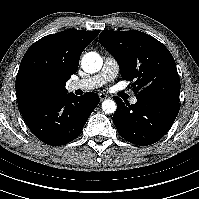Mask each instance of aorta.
<instances>
[{
	"label": "aorta",
	"instance_id": "aorta-1",
	"mask_svg": "<svg viewBox=\"0 0 199 199\" xmlns=\"http://www.w3.org/2000/svg\"><path fill=\"white\" fill-rule=\"evenodd\" d=\"M81 65L85 72L96 73L102 68L103 61L98 53L88 52L83 56ZM116 108L117 106L114 100L108 99L102 103V110L107 114L114 113Z\"/></svg>",
	"mask_w": 199,
	"mask_h": 199
}]
</instances>
